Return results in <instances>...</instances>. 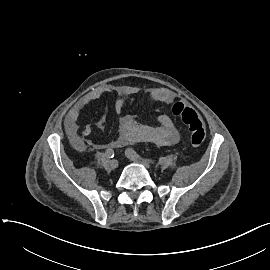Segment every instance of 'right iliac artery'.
<instances>
[{"label":"right iliac artery","instance_id":"82829eb1","mask_svg":"<svg viewBox=\"0 0 270 270\" xmlns=\"http://www.w3.org/2000/svg\"><path fill=\"white\" fill-rule=\"evenodd\" d=\"M106 156L108 158H113L114 157V150L112 148H108L105 152Z\"/></svg>","mask_w":270,"mask_h":270}]
</instances>
